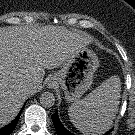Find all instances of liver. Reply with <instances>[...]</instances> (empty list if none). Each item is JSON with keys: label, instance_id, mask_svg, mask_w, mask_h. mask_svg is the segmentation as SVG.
<instances>
[{"label": "liver", "instance_id": "6515ba94", "mask_svg": "<svg viewBox=\"0 0 135 135\" xmlns=\"http://www.w3.org/2000/svg\"><path fill=\"white\" fill-rule=\"evenodd\" d=\"M88 44L84 35L55 26L0 27V127L41 89L45 69L59 67Z\"/></svg>", "mask_w": 135, "mask_h": 135}]
</instances>
